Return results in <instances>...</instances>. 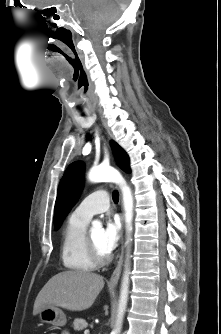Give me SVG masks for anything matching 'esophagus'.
<instances>
[{
  "label": "esophagus",
  "instance_id": "obj_1",
  "mask_svg": "<svg viewBox=\"0 0 221 334\" xmlns=\"http://www.w3.org/2000/svg\"><path fill=\"white\" fill-rule=\"evenodd\" d=\"M122 221H123V216H121ZM124 247L125 245H122V250H121V254L117 263V266L108 282V284L110 286H115L118 283L119 277H120V273H121V269H122V264H123V256H124Z\"/></svg>",
  "mask_w": 221,
  "mask_h": 334
}]
</instances>
